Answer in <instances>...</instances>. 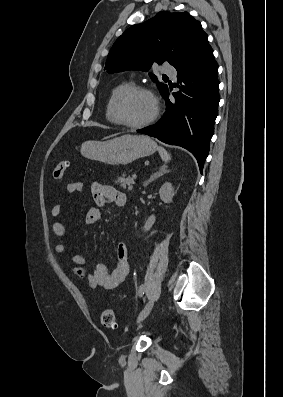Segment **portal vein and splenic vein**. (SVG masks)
I'll return each instance as SVG.
<instances>
[{
  "mask_svg": "<svg viewBox=\"0 0 283 397\" xmlns=\"http://www.w3.org/2000/svg\"><path fill=\"white\" fill-rule=\"evenodd\" d=\"M132 178L133 179H136L137 178V175L134 173V174H132Z\"/></svg>",
  "mask_w": 283,
  "mask_h": 397,
  "instance_id": "portal-vein-and-splenic-vein-1",
  "label": "portal vein and splenic vein"
}]
</instances>
